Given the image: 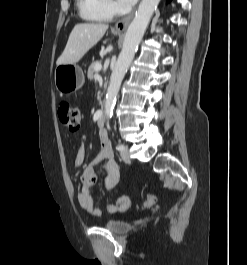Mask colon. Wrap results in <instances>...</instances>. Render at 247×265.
Returning <instances> with one entry per match:
<instances>
[{"label":"colon","mask_w":247,"mask_h":265,"mask_svg":"<svg viewBox=\"0 0 247 265\" xmlns=\"http://www.w3.org/2000/svg\"><path fill=\"white\" fill-rule=\"evenodd\" d=\"M58 116L61 123L72 133H77L80 129L81 115L77 107L67 101H62L58 106ZM156 203V197L147 195L144 206L151 207Z\"/></svg>","instance_id":"1"}]
</instances>
